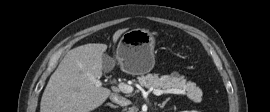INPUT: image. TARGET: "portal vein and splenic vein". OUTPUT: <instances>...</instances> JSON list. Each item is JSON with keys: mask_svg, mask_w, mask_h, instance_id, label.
Returning a JSON list of instances; mask_svg holds the SVG:
<instances>
[{"mask_svg": "<svg viewBox=\"0 0 270 112\" xmlns=\"http://www.w3.org/2000/svg\"><path fill=\"white\" fill-rule=\"evenodd\" d=\"M96 86L100 87L102 85V83L99 80L95 81ZM119 90L122 91L123 93H132L133 92V87L125 84V83H120L118 85ZM153 93L157 96L162 95V94H185L184 90L181 89H175V88H171V89H167V90H158V89H154Z\"/></svg>", "mask_w": 270, "mask_h": 112, "instance_id": "portal-vein-and-splenic-vein-1", "label": "portal vein and splenic vein"}]
</instances>
